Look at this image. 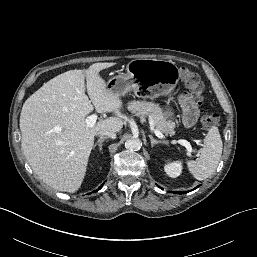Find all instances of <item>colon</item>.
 Masks as SVG:
<instances>
[{
    "mask_svg": "<svg viewBox=\"0 0 257 257\" xmlns=\"http://www.w3.org/2000/svg\"><path fill=\"white\" fill-rule=\"evenodd\" d=\"M180 76L183 84L190 90L193 97L201 102L204 100V85L200 77L187 68H182ZM220 122L219 114L211 111H205L201 118V123L204 129L210 130L216 127Z\"/></svg>",
    "mask_w": 257,
    "mask_h": 257,
    "instance_id": "1",
    "label": "colon"
}]
</instances>
